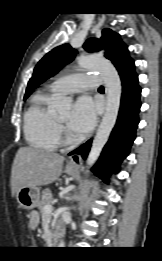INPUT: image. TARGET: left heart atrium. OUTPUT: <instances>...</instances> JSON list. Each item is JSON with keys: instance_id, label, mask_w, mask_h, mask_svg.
<instances>
[{"instance_id": "obj_1", "label": "left heart atrium", "mask_w": 162, "mask_h": 261, "mask_svg": "<svg viewBox=\"0 0 162 261\" xmlns=\"http://www.w3.org/2000/svg\"><path fill=\"white\" fill-rule=\"evenodd\" d=\"M97 106L89 96H81L75 103L69 120L70 129L78 135L89 133L96 122Z\"/></svg>"}]
</instances>
